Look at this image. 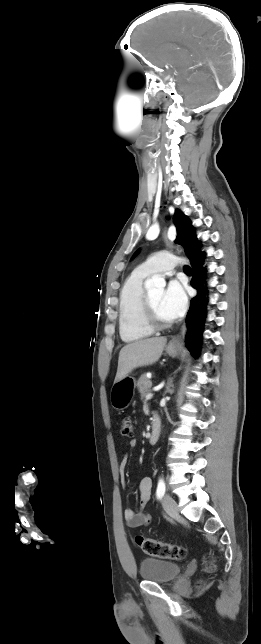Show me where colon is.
<instances>
[{"mask_svg": "<svg viewBox=\"0 0 261 644\" xmlns=\"http://www.w3.org/2000/svg\"><path fill=\"white\" fill-rule=\"evenodd\" d=\"M134 432L135 428L131 418H123L121 422V434L125 437L131 438L133 437ZM136 543L141 551L149 556L170 560H180L186 556V549L182 546L160 542L143 536H137ZM204 562L207 571L214 570L215 564L212 555H206Z\"/></svg>", "mask_w": 261, "mask_h": 644, "instance_id": "5ec220e1", "label": "colon"}]
</instances>
